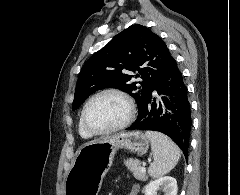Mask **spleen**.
Wrapping results in <instances>:
<instances>
[{"instance_id":"1","label":"spleen","mask_w":240,"mask_h":195,"mask_svg":"<svg viewBox=\"0 0 240 195\" xmlns=\"http://www.w3.org/2000/svg\"><path fill=\"white\" fill-rule=\"evenodd\" d=\"M145 135L151 141L154 157V161L148 167V173L150 177L156 179L175 167L181 157V151L178 145L161 131H145Z\"/></svg>"}]
</instances>
